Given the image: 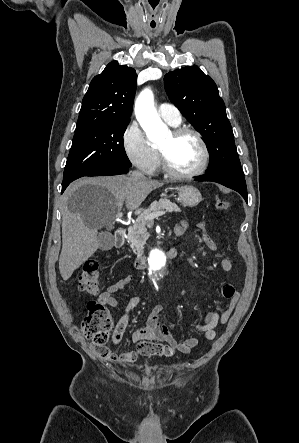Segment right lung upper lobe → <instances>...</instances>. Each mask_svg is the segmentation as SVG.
<instances>
[{
	"mask_svg": "<svg viewBox=\"0 0 299 443\" xmlns=\"http://www.w3.org/2000/svg\"><path fill=\"white\" fill-rule=\"evenodd\" d=\"M136 71L117 61L95 76L83 98L76 130L107 121H130Z\"/></svg>",
	"mask_w": 299,
	"mask_h": 443,
	"instance_id": "obj_1",
	"label": "right lung upper lobe"
}]
</instances>
